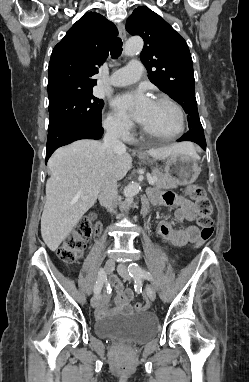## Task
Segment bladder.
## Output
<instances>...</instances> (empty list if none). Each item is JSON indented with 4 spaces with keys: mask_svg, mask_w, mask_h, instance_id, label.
<instances>
[{
    "mask_svg": "<svg viewBox=\"0 0 249 382\" xmlns=\"http://www.w3.org/2000/svg\"><path fill=\"white\" fill-rule=\"evenodd\" d=\"M94 332L99 338L105 340L136 344L156 336L158 320L145 312L113 315L97 320L94 324Z\"/></svg>",
    "mask_w": 249,
    "mask_h": 382,
    "instance_id": "31cf9c89",
    "label": "bladder"
}]
</instances>
